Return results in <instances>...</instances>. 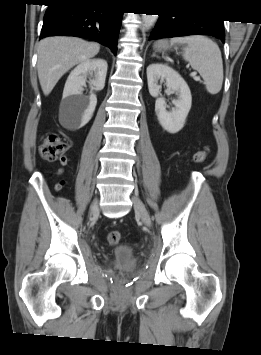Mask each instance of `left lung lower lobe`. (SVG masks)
I'll use <instances>...</instances> for the list:
<instances>
[{"label":"left lung lower lobe","instance_id":"1","mask_svg":"<svg viewBox=\"0 0 261 355\" xmlns=\"http://www.w3.org/2000/svg\"><path fill=\"white\" fill-rule=\"evenodd\" d=\"M186 35H209L225 41L223 21L210 18L160 15L150 38H172Z\"/></svg>","mask_w":261,"mask_h":355}]
</instances>
